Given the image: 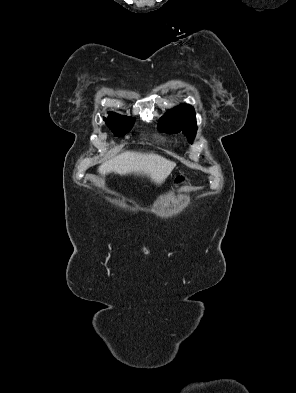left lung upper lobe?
<instances>
[{
  "label": "left lung upper lobe",
  "instance_id": "left-lung-upper-lobe-1",
  "mask_svg": "<svg viewBox=\"0 0 296 393\" xmlns=\"http://www.w3.org/2000/svg\"><path fill=\"white\" fill-rule=\"evenodd\" d=\"M158 129L168 133L182 131L191 143L197 131L194 108L190 105L182 104L169 110L159 120Z\"/></svg>",
  "mask_w": 296,
  "mask_h": 393
}]
</instances>
